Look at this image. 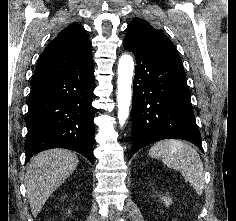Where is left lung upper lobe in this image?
Segmentation results:
<instances>
[{"mask_svg": "<svg viewBox=\"0 0 236 221\" xmlns=\"http://www.w3.org/2000/svg\"><path fill=\"white\" fill-rule=\"evenodd\" d=\"M125 38H134L136 41L150 49L181 61V58L170 39L163 34L161 30L155 29L147 21L141 18H135L129 23Z\"/></svg>", "mask_w": 236, "mask_h": 221, "instance_id": "5c2ea615", "label": "left lung upper lobe"}]
</instances>
